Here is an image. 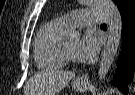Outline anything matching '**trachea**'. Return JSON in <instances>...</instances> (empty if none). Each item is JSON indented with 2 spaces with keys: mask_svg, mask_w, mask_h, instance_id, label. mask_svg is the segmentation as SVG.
I'll return each instance as SVG.
<instances>
[{
  "mask_svg": "<svg viewBox=\"0 0 135 95\" xmlns=\"http://www.w3.org/2000/svg\"><path fill=\"white\" fill-rule=\"evenodd\" d=\"M101 26H106V24H101Z\"/></svg>",
  "mask_w": 135,
  "mask_h": 95,
  "instance_id": "1",
  "label": "trachea"
}]
</instances>
